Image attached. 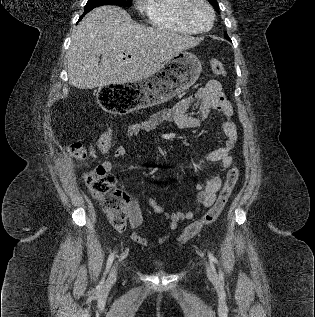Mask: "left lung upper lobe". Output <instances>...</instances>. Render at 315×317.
Masks as SVG:
<instances>
[{
	"label": "left lung upper lobe",
	"instance_id": "obj_1",
	"mask_svg": "<svg viewBox=\"0 0 315 317\" xmlns=\"http://www.w3.org/2000/svg\"><path fill=\"white\" fill-rule=\"evenodd\" d=\"M208 1L212 4V6H214L215 10L219 12V6L216 0H208ZM224 37H227L228 39H230L227 33L224 34Z\"/></svg>",
	"mask_w": 315,
	"mask_h": 317
}]
</instances>
